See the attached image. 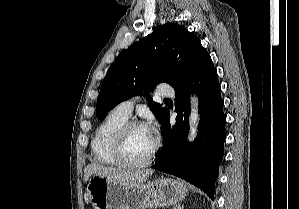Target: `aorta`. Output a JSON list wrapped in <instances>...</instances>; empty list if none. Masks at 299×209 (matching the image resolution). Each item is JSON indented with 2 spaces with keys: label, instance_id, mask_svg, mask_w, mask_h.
Listing matches in <instances>:
<instances>
[{
  "label": "aorta",
  "instance_id": "762f6f07",
  "mask_svg": "<svg viewBox=\"0 0 299 209\" xmlns=\"http://www.w3.org/2000/svg\"><path fill=\"white\" fill-rule=\"evenodd\" d=\"M199 120H200V115L198 113V99L194 95L191 96V112L189 115L190 130L188 134L189 141H192L197 133Z\"/></svg>",
  "mask_w": 299,
  "mask_h": 209
}]
</instances>
